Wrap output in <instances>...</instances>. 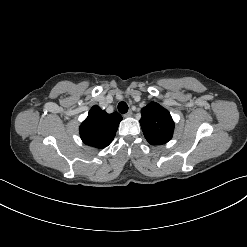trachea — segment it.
<instances>
[{
  "label": "trachea",
  "instance_id": "3493384b",
  "mask_svg": "<svg viewBox=\"0 0 247 247\" xmlns=\"http://www.w3.org/2000/svg\"><path fill=\"white\" fill-rule=\"evenodd\" d=\"M118 111L122 114L127 113L128 105L125 102H120L118 104Z\"/></svg>",
  "mask_w": 247,
  "mask_h": 247
}]
</instances>
